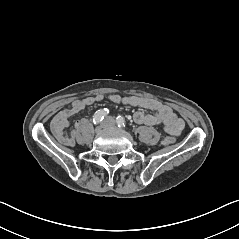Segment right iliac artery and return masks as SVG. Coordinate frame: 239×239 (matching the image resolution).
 Instances as JSON below:
<instances>
[{
	"mask_svg": "<svg viewBox=\"0 0 239 239\" xmlns=\"http://www.w3.org/2000/svg\"><path fill=\"white\" fill-rule=\"evenodd\" d=\"M108 113L109 110L106 108L96 111L93 116V123L99 124Z\"/></svg>",
	"mask_w": 239,
	"mask_h": 239,
	"instance_id": "right-iliac-artery-1",
	"label": "right iliac artery"
}]
</instances>
